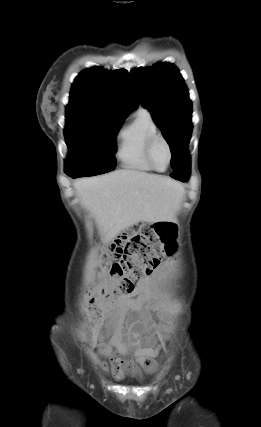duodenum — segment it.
<instances>
[{
	"label": "duodenum",
	"mask_w": 261,
	"mask_h": 427,
	"mask_svg": "<svg viewBox=\"0 0 261 427\" xmlns=\"http://www.w3.org/2000/svg\"><path fill=\"white\" fill-rule=\"evenodd\" d=\"M123 241V237L120 238L119 242Z\"/></svg>",
	"instance_id": "1"
}]
</instances>
